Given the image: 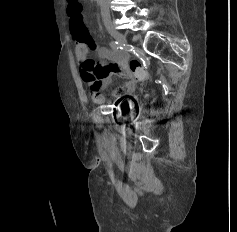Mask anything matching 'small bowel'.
<instances>
[{
    "label": "small bowel",
    "mask_w": 237,
    "mask_h": 232,
    "mask_svg": "<svg viewBox=\"0 0 237 232\" xmlns=\"http://www.w3.org/2000/svg\"><path fill=\"white\" fill-rule=\"evenodd\" d=\"M71 30L80 76L86 84L91 99L96 103L105 101L102 90L109 85L113 76L127 78L123 86L114 92L115 97L120 98L132 93L135 89V81L128 69L126 57L117 51L99 46L87 28L82 33L72 28ZM92 52H96L102 62L98 63L91 59L89 54Z\"/></svg>",
    "instance_id": "small-bowel-1"
}]
</instances>
